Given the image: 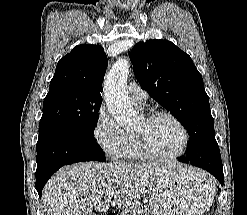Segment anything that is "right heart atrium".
Instances as JSON below:
<instances>
[{"label": "right heart atrium", "mask_w": 247, "mask_h": 215, "mask_svg": "<svg viewBox=\"0 0 247 215\" xmlns=\"http://www.w3.org/2000/svg\"><path fill=\"white\" fill-rule=\"evenodd\" d=\"M93 136L105 154L113 158L121 156L125 143V132L104 105L97 111Z\"/></svg>", "instance_id": "right-heart-atrium-1"}]
</instances>
